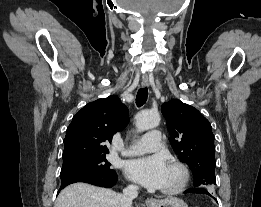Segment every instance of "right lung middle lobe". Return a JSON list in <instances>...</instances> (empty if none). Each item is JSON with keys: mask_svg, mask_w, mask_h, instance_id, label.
Instances as JSON below:
<instances>
[{"mask_svg": "<svg viewBox=\"0 0 261 207\" xmlns=\"http://www.w3.org/2000/svg\"><path fill=\"white\" fill-rule=\"evenodd\" d=\"M105 155L80 156L63 161L61 180L79 175H113Z\"/></svg>", "mask_w": 261, "mask_h": 207, "instance_id": "dd1d6c3e", "label": "right lung middle lobe"}]
</instances>
